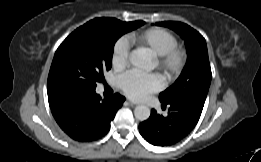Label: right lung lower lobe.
Segmentation results:
<instances>
[{"label":"right lung lower lobe","instance_id":"1","mask_svg":"<svg viewBox=\"0 0 261 162\" xmlns=\"http://www.w3.org/2000/svg\"><path fill=\"white\" fill-rule=\"evenodd\" d=\"M125 98L115 94L102 100L96 92L81 96L68 97L51 106V112L62 128L72 139L89 142L106 135L110 122L122 106Z\"/></svg>","mask_w":261,"mask_h":162}]
</instances>
